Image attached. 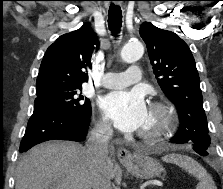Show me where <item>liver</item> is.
Segmentation results:
<instances>
[{"instance_id": "obj_1", "label": "liver", "mask_w": 223, "mask_h": 189, "mask_svg": "<svg viewBox=\"0 0 223 189\" xmlns=\"http://www.w3.org/2000/svg\"><path fill=\"white\" fill-rule=\"evenodd\" d=\"M110 178L113 163L108 164ZM91 160L75 142L50 141L33 147L16 170L15 189H91Z\"/></svg>"}]
</instances>
